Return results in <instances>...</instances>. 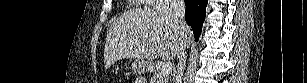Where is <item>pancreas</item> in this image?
<instances>
[{"mask_svg":"<svg viewBox=\"0 0 307 83\" xmlns=\"http://www.w3.org/2000/svg\"><path fill=\"white\" fill-rule=\"evenodd\" d=\"M152 83H169V77L161 74V72H155Z\"/></svg>","mask_w":307,"mask_h":83,"instance_id":"pancreas-1","label":"pancreas"}]
</instances>
